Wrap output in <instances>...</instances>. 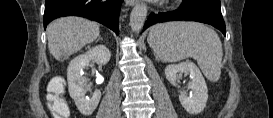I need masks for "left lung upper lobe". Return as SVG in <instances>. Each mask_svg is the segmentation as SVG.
I'll return each mask as SVG.
<instances>
[{"label":"left lung upper lobe","instance_id":"obj_1","mask_svg":"<svg viewBox=\"0 0 273 118\" xmlns=\"http://www.w3.org/2000/svg\"><path fill=\"white\" fill-rule=\"evenodd\" d=\"M191 1L205 3V4H208L218 10H221L220 0H191Z\"/></svg>","mask_w":273,"mask_h":118}]
</instances>
